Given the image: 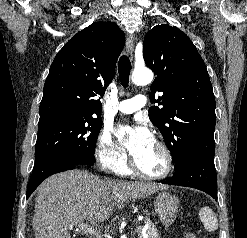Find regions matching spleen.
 <instances>
[{"mask_svg":"<svg viewBox=\"0 0 247 238\" xmlns=\"http://www.w3.org/2000/svg\"><path fill=\"white\" fill-rule=\"evenodd\" d=\"M199 217L207 231L214 232L218 229V219L211 208L202 207L199 211Z\"/></svg>","mask_w":247,"mask_h":238,"instance_id":"spleen-1","label":"spleen"}]
</instances>
